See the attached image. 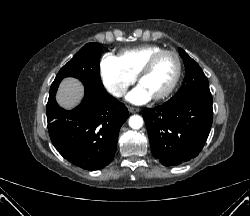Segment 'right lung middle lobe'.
Returning <instances> with one entry per match:
<instances>
[{
	"mask_svg": "<svg viewBox=\"0 0 250 216\" xmlns=\"http://www.w3.org/2000/svg\"><path fill=\"white\" fill-rule=\"evenodd\" d=\"M103 46L99 43L86 44L58 72L51 85L50 93H55L61 80L65 77L79 79L84 86L104 89L100 78L99 64Z\"/></svg>",
	"mask_w": 250,
	"mask_h": 216,
	"instance_id": "obj_1",
	"label": "right lung middle lobe"
}]
</instances>
